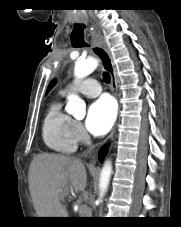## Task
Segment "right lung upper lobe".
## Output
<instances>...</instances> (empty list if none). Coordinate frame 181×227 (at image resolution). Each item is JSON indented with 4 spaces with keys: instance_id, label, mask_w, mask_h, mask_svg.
Returning <instances> with one entry per match:
<instances>
[{
    "instance_id": "1",
    "label": "right lung upper lobe",
    "mask_w": 181,
    "mask_h": 227,
    "mask_svg": "<svg viewBox=\"0 0 181 227\" xmlns=\"http://www.w3.org/2000/svg\"><path fill=\"white\" fill-rule=\"evenodd\" d=\"M54 84H55V81H52V82L49 84L47 91H49L50 89H52V87L54 86Z\"/></svg>"
}]
</instances>
